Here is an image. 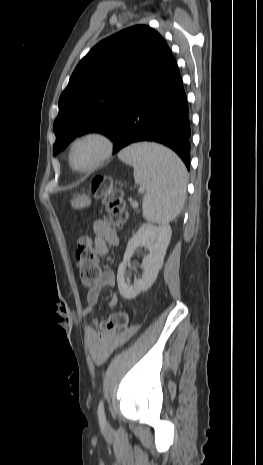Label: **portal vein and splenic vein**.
<instances>
[{"label": "portal vein and splenic vein", "mask_w": 263, "mask_h": 465, "mask_svg": "<svg viewBox=\"0 0 263 465\" xmlns=\"http://www.w3.org/2000/svg\"><path fill=\"white\" fill-rule=\"evenodd\" d=\"M139 192H140V193L143 192V189H139ZM132 206L136 208V207L138 206V203L135 202V201H133V202H132Z\"/></svg>", "instance_id": "portal-vein-and-splenic-vein-1"}]
</instances>
